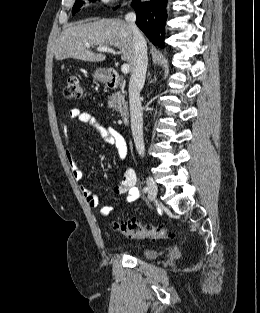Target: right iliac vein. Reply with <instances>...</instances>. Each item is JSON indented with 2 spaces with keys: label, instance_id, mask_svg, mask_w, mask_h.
<instances>
[{
  "label": "right iliac vein",
  "instance_id": "63e3f726",
  "mask_svg": "<svg viewBox=\"0 0 260 313\" xmlns=\"http://www.w3.org/2000/svg\"><path fill=\"white\" fill-rule=\"evenodd\" d=\"M148 198L150 201H155L157 199L158 187L155 181L151 177L146 179Z\"/></svg>",
  "mask_w": 260,
  "mask_h": 313
}]
</instances>
